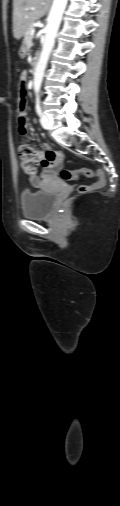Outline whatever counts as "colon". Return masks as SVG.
I'll list each match as a JSON object with an SVG mask.
<instances>
[{"mask_svg":"<svg viewBox=\"0 0 120 506\" xmlns=\"http://www.w3.org/2000/svg\"><path fill=\"white\" fill-rule=\"evenodd\" d=\"M16 77L19 80H24L27 77V72L24 69H19L16 72ZM20 95L18 97V108H17V118L19 130L22 134L25 133L26 128V96L24 94V90L22 85H19ZM19 157L21 161V167L30 176H34L37 172V167L39 165L40 152H38L31 144L24 142L19 146ZM49 159H53V156L50 155ZM93 172L90 169L83 168L78 171H71L67 169L61 170V177L65 180H72L77 177H91ZM96 176L98 177V181L92 186H82L80 188L81 193H86L93 190L101 189L106 184L105 172L101 169L97 170Z\"/></svg>","mask_w":120,"mask_h":506,"instance_id":"1","label":"colon"}]
</instances>
